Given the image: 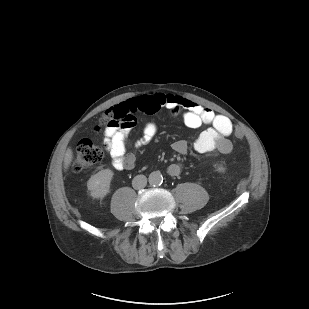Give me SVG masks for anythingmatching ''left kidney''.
<instances>
[{
	"label": "left kidney",
	"mask_w": 309,
	"mask_h": 309,
	"mask_svg": "<svg viewBox=\"0 0 309 309\" xmlns=\"http://www.w3.org/2000/svg\"><path fill=\"white\" fill-rule=\"evenodd\" d=\"M217 171L218 172H224L225 168L222 165H220V166L217 167Z\"/></svg>",
	"instance_id": "5707ae66"
}]
</instances>
